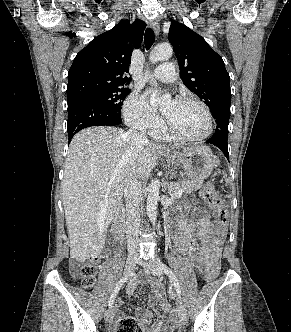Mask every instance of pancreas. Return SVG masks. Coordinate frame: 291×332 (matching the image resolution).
I'll use <instances>...</instances> for the list:
<instances>
[{"label": "pancreas", "mask_w": 291, "mask_h": 332, "mask_svg": "<svg viewBox=\"0 0 291 332\" xmlns=\"http://www.w3.org/2000/svg\"><path fill=\"white\" fill-rule=\"evenodd\" d=\"M203 185V180H188L183 179L178 182H173L169 184V194L172 197L177 196L179 191L183 192H194L200 189Z\"/></svg>", "instance_id": "cf45deb5"}]
</instances>
